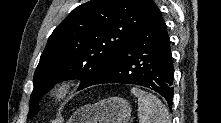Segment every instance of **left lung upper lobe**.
<instances>
[{
    "instance_id": "5c2ea615",
    "label": "left lung upper lobe",
    "mask_w": 221,
    "mask_h": 123,
    "mask_svg": "<svg viewBox=\"0 0 221 123\" xmlns=\"http://www.w3.org/2000/svg\"><path fill=\"white\" fill-rule=\"evenodd\" d=\"M153 0H91L75 8L53 31L36 68L28 117L62 80L80 79L83 89L114 62L158 11Z\"/></svg>"
}]
</instances>
